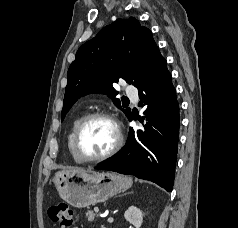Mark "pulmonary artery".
Listing matches in <instances>:
<instances>
[{"instance_id": "1", "label": "pulmonary artery", "mask_w": 238, "mask_h": 228, "mask_svg": "<svg viewBox=\"0 0 238 228\" xmlns=\"http://www.w3.org/2000/svg\"><path fill=\"white\" fill-rule=\"evenodd\" d=\"M126 93L129 96H135L136 95V89L133 86H128L126 88Z\"/></svg>"}]
</instances>
